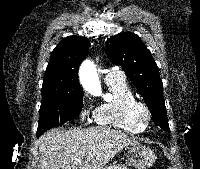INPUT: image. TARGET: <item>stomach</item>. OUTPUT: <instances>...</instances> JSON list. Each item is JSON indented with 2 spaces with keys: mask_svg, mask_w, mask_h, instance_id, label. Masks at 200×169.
Returning <instances> with one entry per match:
<instances>
[{
  "mask_svg": "<svg viewBox=\"0 0 200 169\" xmlns=\"http://www.w3.org/2000/svg\"><path fill=\"white\" fill-rule=\"evenodd\" d=\"M156 157L153 151L143 145H132L127 148V163L134 169H148L153 165Z\"/></svg>",
  "mask_w": 200,
  "mask_h": 169,
  "instance_id": "obj_1",
  "label": "stomach"
}]
</instances>
